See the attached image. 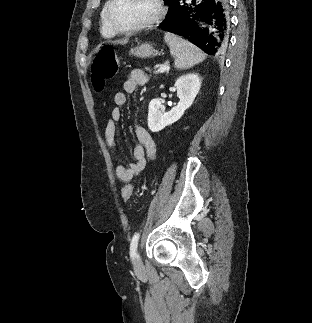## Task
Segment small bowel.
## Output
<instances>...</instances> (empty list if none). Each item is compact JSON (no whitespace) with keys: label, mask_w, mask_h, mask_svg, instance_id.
<instances>
[{"label":"small bowel","mask_w":312,"mask_h":323,"mask_svg":"<svg viewBox=\"0 0 312 323\" xmlns=\"http://www.w3.org/2000/svg\"><path fill=\"white\" fill-rule=\"evenodd\" d=\"M147 82L148 77L142 70L133 69L123 84V90L114 94L113 100L116 107L111 110L104 131L105 143L111 153L115 152L117 145V124L122 119L120 107L126 104L128 93H132L137 87L143 86ZM135 134L138 143L132 151L134 161L129 166L120 163H116L114 166L116 177L123 183L131 182L134 176L143 172L147 159H153L155 156V143L150 134L140 125H136Z\"/></svg>","instance_id":"small-bowel-1"}]
</instances>
